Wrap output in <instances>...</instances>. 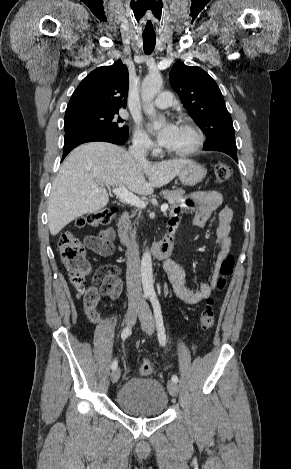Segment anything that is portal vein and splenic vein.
<instances>
[{
  "instance_id": "portal-vein-and-splenic-vein-1",
  "label": "portal vein and splenic vein",
  "mask_w": 291,
  "mask_h": 469,
  "mask_svg": "<svg viewBox=\"0 0 291 469\" xmlns=\"http://www.w3.org/2000/svg\"><path fill=\"white\" fill-rule=\"evenodd\" d=\"M112 192L123 202L130 204L132 206L138 207V208H145L146 203L138 198L136 195L133 193L129 192L125 186H120L117 188H113ZM168 209V204H163L161 206V211L165 212Z\"/></svg>"
}]
</instances>
